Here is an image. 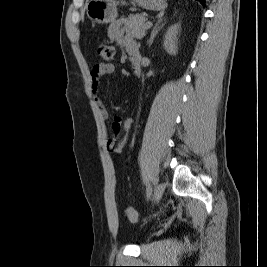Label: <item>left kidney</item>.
I'll return each instance as SVG.
<instances>
[{"label": "left kidney", "mask_w": 267, "mask_h": 267, "mask_svg": "<svg viewBox=\"0 0 267 267\" xmlns=\"http://www.w3.org/2000/svg\"><path fill=\"white\" fill-rule=\"evenodd\" d=\"M180 24H174L168 28L164 39V49L170 55H176L178 53V38L177 35L180 32Z\"/></svg>", "instance_id": "5707ae66"}]
</instances>
